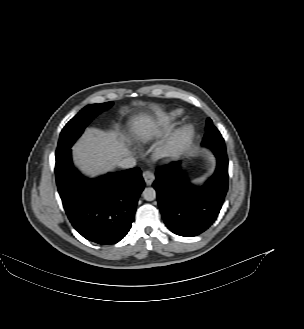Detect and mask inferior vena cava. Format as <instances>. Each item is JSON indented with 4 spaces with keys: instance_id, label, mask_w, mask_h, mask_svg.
Wrapping results in <instances>:
<instances>
[{
    "instance_id": "inferior-vena-cava-1",
    "label": "inferior vena cava",
    "mask_w": 304,
    "mask_h": 329,
    "mask_svg": "<svg viewBox=\"0 0 304 329\" xmlns=\"http://www.w3.org/2000/svg\"><path fill=\"white\" fill-rule=\"evenodd\" d=\"M117 165L123 169H129L136 166V159L133 157L122 158Z\"/></svg>"
}]
</instances>
